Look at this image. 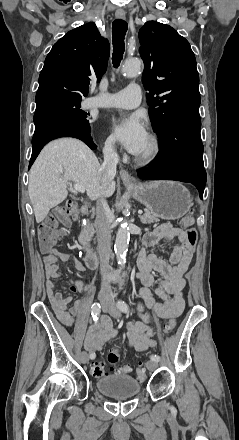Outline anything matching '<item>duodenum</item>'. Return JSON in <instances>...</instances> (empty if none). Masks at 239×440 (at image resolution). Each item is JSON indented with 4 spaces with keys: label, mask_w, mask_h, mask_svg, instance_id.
Instances as JSON below:
<instances>
[{
    "label": "duodenum",
    "mask_w": 239,
    "mask_h": 440,
    "mask_svg": "<svg viewBox=\"0 0 239 440\" xmlns=\"http://www.w3.org/2000/svg\"><path fill=\"white\" fill-rule=\"evenodd\" d=\"M82 216H87L90 213V208L87 205L81 207ZM91 230L88 226L82 225L79 240L85 251V263L88 268H95L97 265V255L91 248Z\"/></svg>",
    "instance_id": "1"
}]
</instances>
